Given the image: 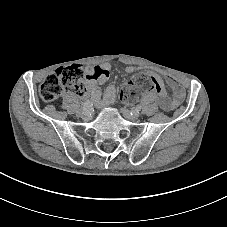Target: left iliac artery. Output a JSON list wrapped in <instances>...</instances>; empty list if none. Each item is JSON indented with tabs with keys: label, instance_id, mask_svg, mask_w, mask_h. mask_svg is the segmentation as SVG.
<instances>
[{
	"label": "left iliac artery",
	"instance_id": "44dca946",
	"mask_svg": "<svg viewBox=\"0 0 227 227\" xmlns=\"http://www.w3.org/2000/svg\"><path fill=\"white\" fill-rule=\"evenodd\" d=\"M139 111H141V106H140V105H138V106L135 108V112H138V113H139Z\"/></svg>",
	"mask_w": 227,
	"mask_h": 227
}]
</instances>
